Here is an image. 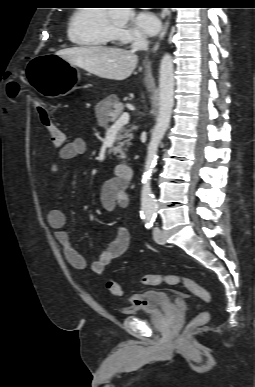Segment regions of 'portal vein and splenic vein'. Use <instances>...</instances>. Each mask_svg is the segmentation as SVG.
Masks as SVG:
<instances>
[{"label": "portal vein and splenic vein", "mask_w": 255, "mask_h": 387, "mask_svg": "<svg viewBox=\"0 0 255 387\" xmlns=\"http://www.w3.org/2000/svg\"><path fill=\"white\" fill-rule=\"evenodd\" d=\"M130 116L127 112L123 113L117 121L114 123L113 127H122L123 125L129 122Z\"/></svg>", "instance_id": "18ae733b"}]
</instances>
